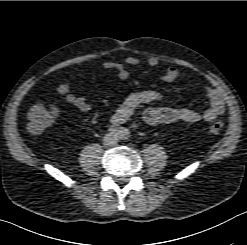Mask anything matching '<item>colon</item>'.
Wrapping results in <instances>:
<instances>
[{
	"label": "colon",
	"instance_id": "colon-1",
	"mask_svg": "<svg viewBox=\"0 0 247 245\" xmlns=\"http://www.w3.org/2000/svg\"><path fill=\"white\" fill-rule=\"evenodd\" d=\"M56 115L57 111L55 109L47 108L41 104L33 105L29 109L27 114L28 130L32 134L42 133L47 127H49L53 123ZM223 126L224 123L220 120H217L209 126L208 131L210 133L215 134L220 132Z\"/></svg>",
	"mask_w": 247,
	"mask_h": 245
}]
</instances>
